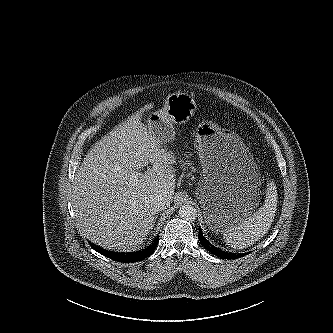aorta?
<instances>
[{"label": "aorta", "mask_w": 333, "mask_h": 333, "mask_svg": "<svg viewBox=\"0 0 333 333\" xmlns=\"http://www.w3.org/2000/svg\"><path fill=\"white\" fill-rule=\"evenodd\" d=\"M179 216L187 221H194L197 218V209L189 204H184L179 208Z\"/></svg>", "instance_id": "1"}]
</instances>
